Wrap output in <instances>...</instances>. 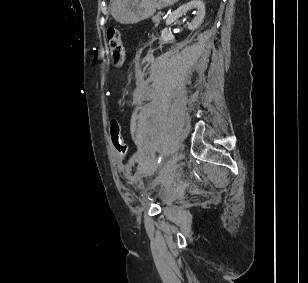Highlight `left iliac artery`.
<instances>
[{"label":"left iliac artery","mask_w":308,"mask_h":283,"mask_svg":"<svg viewBox=\"0 0 308 283\" xmlns=\"http://www.w3.org/2000/svg\"><path fill=\"white\" fill-rule=\"evenodd\" d=\"M162 161V157L160 156L158 159V164Z\"/></svg>","instance_id":"44dca946"}]
</instances>
